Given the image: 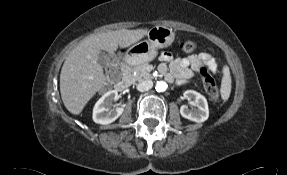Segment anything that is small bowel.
Masks as SVG:
<instances>
[{
  "mask_svg": "<svg viewBox=\"0 0 287 175\" xmlns=\"http://www.w3.org/2000/svg\"><path fill=\"white\" fill-rule=\"evenodd\" d=\"M160 60L162 63L159 65V71L167 81L175 78L179 83H185L191 78L193 71H198L202 65H207L213 72L217 70L215 58L207 52L180 58L165 51L160 54Z\"/></svg>",
  "mask_w": 287,
  "mask_h": 175,
  "instance_id": "c3829d8e",
  "label": "small bowel"
}]
</instances>
